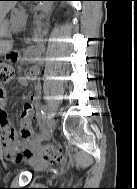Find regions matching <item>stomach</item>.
Returning <instances> with one entry per match:
<instances>
[{
	"label": "stomach",
	"mask_w": 137,
	"mask_h": 189,
	"mask_svg": "<svg viewBox=\"0 0 137 189\" xmlns=\"http://www.w3.org/2000/svg\"><path fill=\"white\" fill-rule=\"evenodd\" d=\"M8 36H9V26H8V22L4 20L0 24V53H4L7 50L9 39H6V37Z\"/></svg>",
	"instance_id": "stomach-1"
}]
</instances>
